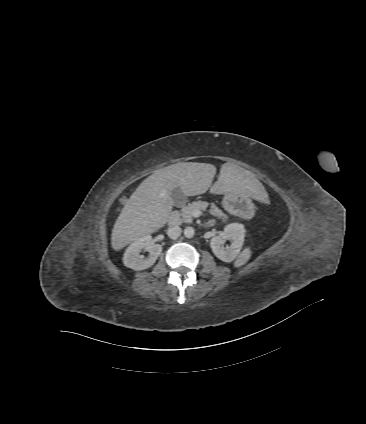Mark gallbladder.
<instances>
[{
  "instance_id": "bac80fb5",
  "label": "gallbladder",
  "mask_w": 366,
  "mask_h": 424,
  "mask_svg": "<svg viewBox=\"0 0 366 424\" xmlns=\"http://www.w3.org/2000/svg\"><path fill=\"white\" fill-rule=\"evenodd\" d=\"M171 197L175 206H178L182 199L184 198V194L179 187H176L171 192Z\"/></svg>"
}]
</instances>
